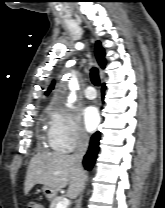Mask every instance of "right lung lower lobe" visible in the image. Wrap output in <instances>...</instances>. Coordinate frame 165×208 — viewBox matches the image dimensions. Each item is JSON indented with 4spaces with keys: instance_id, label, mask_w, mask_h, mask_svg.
Returning a JSON list of instances; mask_svg holds the SVG:
<instances>
[{
    "instance_id": "obj_1",
    "label": "right lung lower lobe",
    "mask_w": 165,
    "mask_h": 208,
    "mask_svg": "<svg viewBox=\"0 0 165 208\" xmlns=\"http://www.w3.org/2000/svg\"><path fill=\"white\" fill-rule=\"evenodd\" d=\"M105 85H103L102 93L104 94ZM100 133L96 132L90 139L89 149L84 156L83 164L84 167L90 170L96 160V156L99 150Z\"/></svg>"
}]
</instances>
